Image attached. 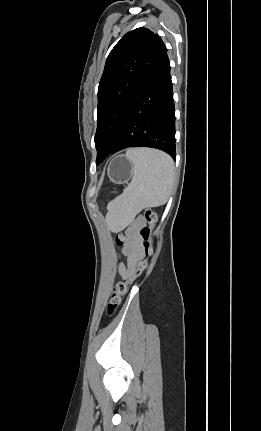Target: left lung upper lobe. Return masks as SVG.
I'll use <instances>...</instances> for the list:
<instances>
[{
	"instance_id": "obj_1",
	"label": "left lung upper lobe",
	"mask_w": 261,
	"mask_h": 431,
	"mask_svg": "<svg viewBox=\"0 0 261 431\" xmlns=\"http://www.w3.org/2000/svg\"><path fill=\"white\" fill-rule=\"evenodd\" d=\"M166 52L159 35L143 27L124 35L110 52L98 87L96 164L110 154L133 98Z\"/></svg>"
}]
</instances>
